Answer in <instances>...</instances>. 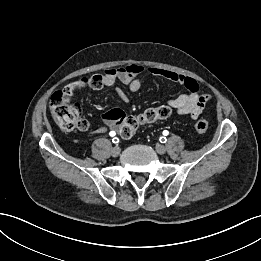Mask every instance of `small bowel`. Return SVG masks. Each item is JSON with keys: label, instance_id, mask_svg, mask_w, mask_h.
<instances>
[{"label": "small bowel", "instance_id": "obj_1", "mask_svg": "<svg viewBox=\"0 0 261 261\" xmlns=\"http://www.w3.org/2000/svg\"><path fill=\"white\" fill-rule=\"evenodd\" d=\"M144 71L145 68L142 65L131 63L123 67L107 69L102 74H97L92 77H84L82 80L86 83L84 88L97 90L106 86H112L116 81H119L127 85L132 92H136L141 88V81L138 76ZM147 71L153 76L166 78L183 85L188 92L181 94L174 99H169L167 103L179 115H188L192 119L199 117L203 112L206 103L210 99V96L199 93V86L193 78L158 67H149ZM116 93L122 101L127 100V96L122 89L117 88ZM112 110L122 112L119 109ZM110 111L104 114L105 125L98 128L95 131L96 133H104L107 129H119L118 124L107 117V114Z\"/></svg>", "mask_w": 261, "mask_h": 261}]
</instances>
